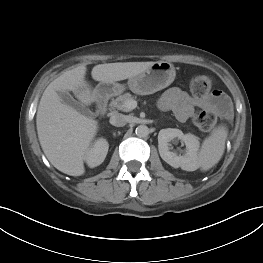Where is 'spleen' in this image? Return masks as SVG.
<instances>
[{
	"label": "spleen",
	"mask_w": 263,
	"mask_h": 263,
	"mask_svg": "<svg viewBox=\"0 0 263 263\" xmlns=\"http://www.w3.org/2000/svg\"><path fill=\"white\" fill-rule=\"evenodd\" d=\"M227 134V129L219 126L204 140L198 156V164L203 171L209 170L221 159Z\"/></svg>",
	"instance_id": "3e777b00"
}]
</instances>
